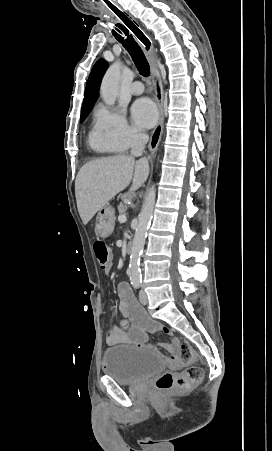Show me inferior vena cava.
Returning a JSON list of instances; mask_svg holds the SVG:
<instances>
[{"label": "inferior vena cava", "instance_id": "inferior-vena-cava-1", "mask_svg": "<svg viewBox=\"0 0 272 451\" xmlns=\"http://www.w3.org/2000/svg\"><path fill=\"white\" fill-rule=\"evenodd\" d=\"M148 138L147 134H134L131 146L132 156H142Z\"/></svg>", "mask_w": 272, "mask_h": 451}]
</instances>
